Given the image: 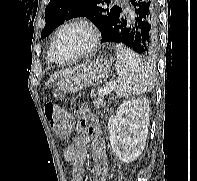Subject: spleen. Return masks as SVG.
I'll use <instances>...</instances> for the list:
<instances>
[{"instance_id":"1","label":"spleen","mask_w":197,"mask_h":181,"mask_svg":"<svg viewBox=\"0 0 197 181\" xmlns=\"http://www.w3.org/2000/svg\"><path fill=\"white\" fill-rule=\"evenodd\" d=\"M118 75L115 91L119 97L141 95L154 87V74L151 67L123 44L116 45Z\"/></svg>"}]
</instances>
